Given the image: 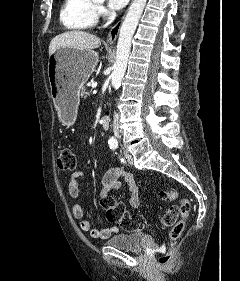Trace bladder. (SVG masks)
<instances>
[{
    "label": "bladder",
    "mask_w": 240,
    "mask_h": 281,
    "mask_svg": "<svg viewBox=\"0 0 240 281\" xmlns=\"http://www.w3.org/2000/svg\"><path fill=\"white\" fill-rule=\"evenodd\" d=\"M110 247L126 251H141L145 244V235L140 232L119 233L106 241Z\"/></svg>",
    "instance_id": "obj_1"
}]
</instances>
